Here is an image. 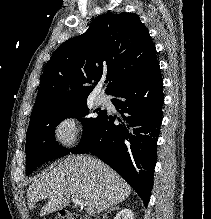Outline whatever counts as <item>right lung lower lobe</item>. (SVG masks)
<instances>
[{"label":"right lung lower lobe","instance_id":"obj_1","mask_svg":"<svg viewBox=\"0 0 211 219\" xmlns=\"http://www.w3.org/2000/svg\"><path fill=\"white\" fill-rule=\"evenodd\" d=\"M111 99L122 114L107 112L72 153H91L117 171L147 206L153 188L157 140L163 118V80L158 60L117 88Z\"/></svg>","mask_w":211,"mask_h":219}]
</instances>
